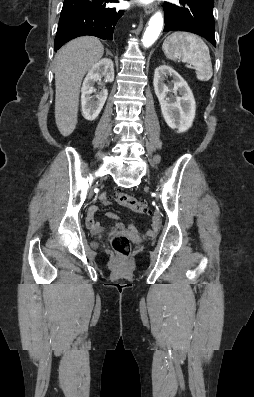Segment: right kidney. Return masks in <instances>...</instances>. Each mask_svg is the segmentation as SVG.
Masks as SVG:
<instances>
[{
    "label": "right kidney",
    "mask_w": 254,
    "mask_h": 397,
    "mask_svg": "<svg viewBox=\"0 0 254 397\" xmlns=\"http://www.w3.org/2000/svg\"><path fill=\"white\" fill-rule=\"evenodd\" d=\"M102 76H105L106 82H113L114 65L111 59L104 58L94 64L83 81L81 88L82 114L83 117L89 121H93L97 118L108 96V90L103 89L96 95L97 100H93L92 93L95 91L94 84L101 80Z\"/></svg>",
    "instance_id": "obj_1"
}]
</instances>
